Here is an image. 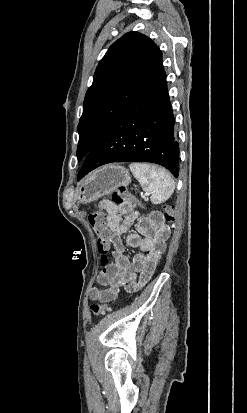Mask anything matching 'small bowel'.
<instances>
[{
	"mask_svg": "<svg viewBox=\"0 0 247 413\" xmlns=\"http://www.w3.org/2000/svg\"><path fill=\"white\" fill-rule=\"evenodd\" d=\"M99 209L107 212L114 254L112 263L104 267L97 277L98 283L105 288H92L89 297L92 301L107 302L120 297V292L114 291L120 285L129 292H136L149 282L166 250L171 231L163 222L156 224L150 222V216L142 217L131 202L116 204L102 200ZM133 225L139 233L129 232ZM123 234H126L125 244L121 238ZM125 245L137 248L139 253L130 259L124 253Z\"/></svg>",
	"mask_w": 247,
	"mask_h": 413,
	"instance_id": "c3829d8e",
	"label": "small bowel"
}]
</instances>
